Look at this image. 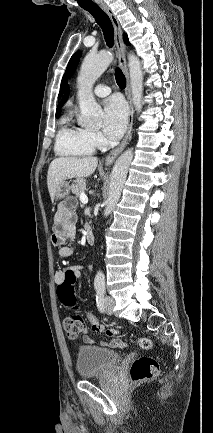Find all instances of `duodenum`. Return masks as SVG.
I'll use <instances>...</instances> for the list:
<instances>
[{
  "mask_svg": "<svg viewBox=\"0 0 213 433\" xmlns=\"http://www.w3.org/2000/svg\"><path fill=\"white\" fill-rule=\"evenodd\" d=\"M85 238H86V242L89 245H93L94 244L95 237H94L93 233L89 229H86V231H85Z\"/></svg>",
  "mask_w": 213,
  "mask_h": 433,
  "instance_id": "duodenum-1",
  "label": "duodenum"
}]
</instances>
